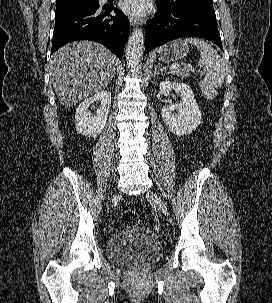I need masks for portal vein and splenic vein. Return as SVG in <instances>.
I'll return each instance as SVG.
<instances>
[{
    "mask_svg": "<svg viewBox=\"0 0 272 303\" xmlns=\"http://www.w3.org/2000/svg\"><path fill=\"white\" fill-rule=\"evenodd\" d=\"M184 68L188 71H195V68L192 67L191 65H184ZM170 69H181L180 64H174L170 67Z\"/></svg>",
    "mask_w": 272,
    "mask_h": 303,
    "instance_id": "18ae733b",
    "label": "portal vein and splenic vein"
}]
</instances>
